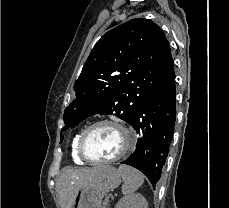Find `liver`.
I'll return each mask as SVG.
<instances>
[{
	"label": "liver",
	"instance_id": "1",
	"mask_svg": "<svg viewBox=\"0 0 229 208\" xmlns=\"http://www.w3.org/2000/svg\"><path fill=\"white\" fill-rule=\"evenodd\" d=\"M103 168L104 166H95V168H71V166H66V168H63L62 174L56 182V192L61 208H72L79 188L100 176Z\"/></svg>",
	"mask_w": 229,
	"mask_h": 208
}]
</instances>
